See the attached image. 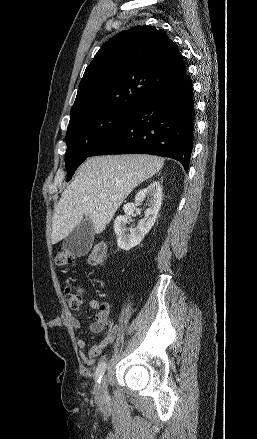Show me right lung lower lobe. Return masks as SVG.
<instances>
[{
	"instance_id": "1",
	"label": "right lung lower lobe",
	"mask_w": 257,
	"mask_h": 439,
	"mask_svg": "<svg viewBox=\"0 0 257 439\" xmlns=\"http://www.w3.org/2000/svg\"><path fill=\"white\" fill-rule=\"evenodd\" d=\"M194 114L192 82L185 74L148 97L89 156L152 154L178 160L188 171Z\"/></svg>"
}]
</instances>
